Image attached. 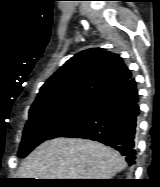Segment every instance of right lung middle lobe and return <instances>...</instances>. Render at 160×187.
<instances>
[{"instance_id": "dd1d6c3e", "label": "right lung middle lobe", "mask_w": 160, "mask_h": 187, "mask_svg": "<svg viewBox=\"0 0 160 187\" xmlns=\"http://www.w3.org/2000/svg\"><path fill=\"white\" fill-rule=\"evenodd\" d=\"M96 102L79 99L30 109L18 151L19 157H26L40 143L56 138L75 126L91 112Z\"/></svg>"}]
</instances>
